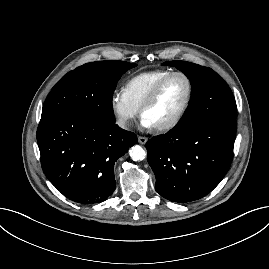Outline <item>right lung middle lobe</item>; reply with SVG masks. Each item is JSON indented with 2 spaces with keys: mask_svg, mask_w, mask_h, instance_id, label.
<instances>
[{
  "mask_svg": "<svg viewBox=\"0 0 269 269\" xmlns=\"http://www.w3.org/2000/svg\"><path fill=\"white\" fill-rule=\"evenodd\" d=\"M137 66L124 61L84 64L62 77L47 96L42 116L71 113L102 123H114L112 96L116 83L127 70Z\"/></svg>",
  "mask_w": 269,
  "mask_h": 269,
  "instance_id": "1",
  "label": "right lung middle lobe"
}]
</instances>
